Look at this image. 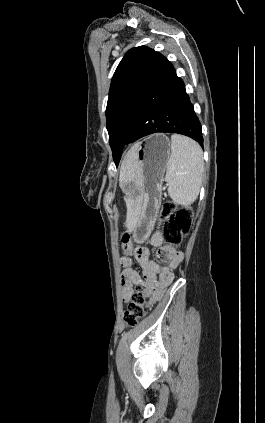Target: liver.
I'll return each mask as SVG.
<instances>
[{"instance_id": "liver-1", "label": "liver", "mask_w": 265, "mask_h": 423, "mask_svg": "<svg viewBox=\"0 0 265 423\" xmlns=\"http://www.w3.org/2000/svg\"><path fill=\"white\" fill-rule=\"evenodd\" d=\"M136 148L137 145H134L131 150L127 153L126 157L124 158L121 170H120V183H128L134 182L139 183L141 179V172L138 168L136 163ZM140 213V207L133 206L132 204H128V213H127V220L126 226L129 231H132L137 223L138 216Z\"/></svg>"}]
</instances>
